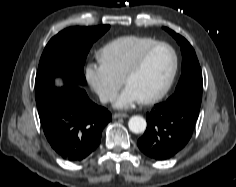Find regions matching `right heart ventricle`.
Here are the masks:
<instances>
[{
    "label": "right heart ventricle",
    "instance_id": "1",
    "mask_svg": "<svg viewBox=\"0 0 236 187\" xmlns=\"http://www.w3.org/2000/svg\"><path fill=\"white\" fill-rule=\"evenodd\" d=\"M155 42L157 40L147 36L118 37L105 44L98 51L97 58L100 64L122 79L140 52Z\"/></svg>",
    "mask_w": 236,
    "mask_h": 187
}]
</instances>
